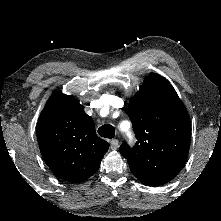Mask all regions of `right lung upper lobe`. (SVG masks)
<instances>
[{
    "label": "right lung upper lobe",
    "mask_w": 221,
    "mask_h": 221,
    "mask_svg": "<svg viewBox=\"0 0 221 221\" xmlns=\"http://www.w3.org/2000/svg\"><path fill=\"white\" fill-rule=\"evenodd\" d=\"M37 140L48 167L72 183L94 175L109 148L108 142L96 135L94 122L84 107L61 92L51 95L42 110Z\"/></svg>",
    "instance_id": "1"
}]
</instances>
